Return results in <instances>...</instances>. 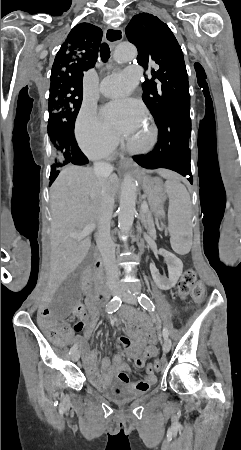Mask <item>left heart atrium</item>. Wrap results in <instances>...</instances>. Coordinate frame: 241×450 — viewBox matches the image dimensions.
Returning <instances> with one entry per match:
<instances>
[{
    "instance_id": "39dd6f15",
    "label": "left heart atrium",
    "mask_w": 241,
    "mask_h": 450,
    "mask_svg": "<svg viewBox=\"0 0 241 450\" xmlns=\"http://www.w3.org/2000/svg\"><path fill=\"white\" fill-rule=\"evenodd\" d=\"M129 112H135L144 116V110L142 106L130 100L112 102L101 110V116L106 124L117 131H127L132 127L129 126L125 118V114Z\"/></svg>"
}]
</instances>
